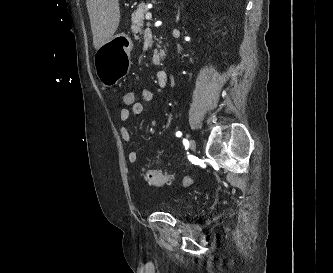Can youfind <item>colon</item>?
<instances>
[{
  "instance_id": "1",
  "label": "colon",
  "mask_w": 333,
  "mask_h": 273,
  "mask_svg": "<svg viewBox=\"0 0 333 273\" xmlns=\"http://www.w3.org/2000/svg\"><path fill=\"white\" fill-rule=\"evenodd\" d=\"M121 104L123 106H131L135 102V96L132 92H125L120 97ZM143 180L152 186H163L171 182V177L168 173L161 170L149 169L143 172ZM192 179L185 177L183 183L185 186H190L192 184Z\"/></svg>"
}]
</instances>
